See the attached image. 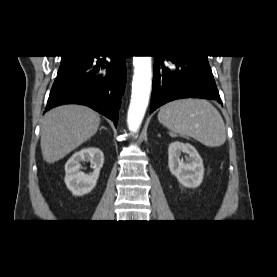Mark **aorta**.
Wrapping results in <instances>:
<instances>
[{
	"label": "aorta",
	"mask_w": 277,
	"mask_h": 277,
	"mask_svg": "<svg viewBox=\"0 0 277 277\" xmlns=\"http://www.w3.org/2000/svg\"><path fill=\"white\" fill-rule=\"evenodd\" d=\"M134 75L127 124L137 132L148 106L152 84L151 56H133Z\"/></svg>",
	"instance_id": "762f6f07"
}]
</instances>
